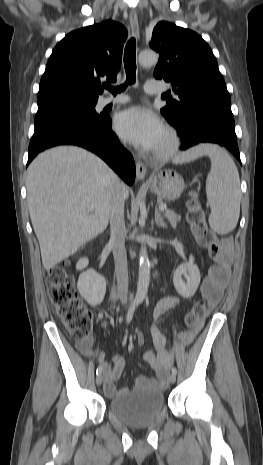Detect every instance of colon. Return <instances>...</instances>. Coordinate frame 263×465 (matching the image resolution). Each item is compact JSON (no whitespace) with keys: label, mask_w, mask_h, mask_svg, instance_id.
I'll return each mask as SVG.
<instances>
[{"label":"colon","mask_w":263,"mask_h":465,"mask_svg":"<svg viewBox=\"0 0 263 465\" xmlns=\"http://www.w3.org/2000/svg\"><path fill=\"white\" fill-rule=\"evenodd\" d=\"M187 219L197 243L208 249L212 257L220 253L215 234L208 228L204 212L197 198L188 202ZM48 295L56 314L75 340L79 349L89 352L92 346L91 330L93 317L78 296L73 276L65 265L53 268L47 277ZM206 304L204 300L196 302L185 316V325L196 330L204 319Z\"/></svg>","instance_id":"colon-1"}]
</instances>
